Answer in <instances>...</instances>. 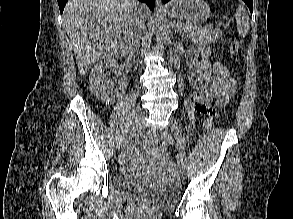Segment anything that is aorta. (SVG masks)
Returning a JSON list of instances; mask_svg holds the SVG:
<instances>
[{"label": "aorta", "instance_id": "762f6f07", "mask_svg": "<svg viewBox=\"0 0 293 219\" xmlns=\"http://www.w3.org/2000/svg\"><path fill=\"white\" fill-rule=\"evenodd\" d=\"M154 24L156 30V42L158 48H161L166 44L168 39V31L166 26V20L160 11V4L158 0L156 1V14L154 17Z\"/></svg>", "mask_w": 293, "mask_h": 219}]
</instances>
